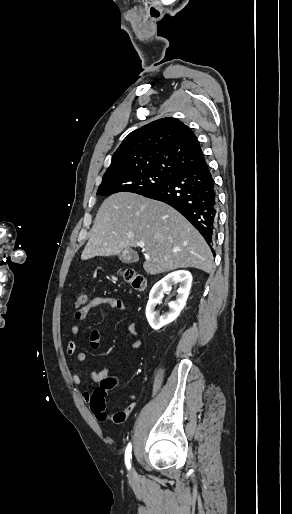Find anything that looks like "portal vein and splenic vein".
Returning a JSON list of instances; mask_svg holds the SVG:
<instances>
[{"label":"portal vein and splenic vein","mask_w":292,"mask_h":514,"mask_svg":"<svg viewBox=\"0 0 292 514\" xmlns=\"http://www.w3.org/2000/svg\"><path fill=\"white\" fill-rule=\"evenodd\" d=\"M140 248H144V244H140ZM173 252H179V250H173Z\"/></svg>","instance_id":"portal-vein-and-splenic-vein-1"}]
</instances>
